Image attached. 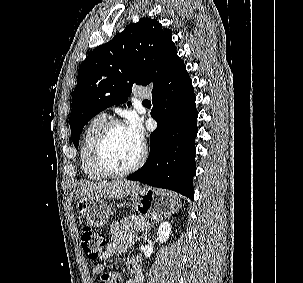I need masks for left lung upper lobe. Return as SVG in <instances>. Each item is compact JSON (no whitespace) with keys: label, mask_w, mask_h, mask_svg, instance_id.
<instances>
[{"label":"left lung upper lobe","mask_w":303,"mask_h":283,"mask_svg":"<svg viewBox=\"0 0 303 283\" xmlns=\"http://www.w3.org/2000/svg\"><path fill=\"white\" fill-rule=\"evenodd\" d=\"M176 57L171 30L145 17L95 48L79 67L72 96L69 121L75 147L90 119L109 106L125 103L133 85L155 83L159 79L155 70L162 76Z\"/></svg>","instance_id":"5c2ea615"}]
</instances>
